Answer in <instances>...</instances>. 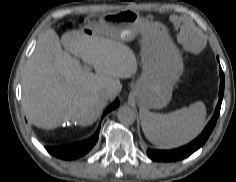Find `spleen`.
I'll return each instance as SVG.
<instances>
[{
  "instance_id": "obj_1",
  "label": "spleen",
  "mask_w": 236,
  "mask_h": 182,
  "mask_svg": "<svg viewBox=\"0 0 236 182\" xmlns=\"http://www.w3.org/2000/svg\"><path fill=\"white\" fill-rule=\"evenodd\" d=\"M140 118L146 138L159 148L170 149L189 143L201 133L206 107L198 101L168 114L141 109Z\"/></svg>"
}]
</instances>
